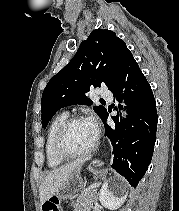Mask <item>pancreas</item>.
Instances as JSON below:
<instances>
[{"mask_svg":"<svg viewBox=\"0 0 179 211\" xmlns=\"http://www.w3.org/2000/svg\"><path fill=\"white\" fill-rule=\"evenodd\" d=\"M96 199L97 190L95 186L84 189L73 204L74 211H90Z\"/></svg>","mask_w":179,"mask_h":211,"instance_id":"cf45deb5","label":"pancreas"}]
</instances>
